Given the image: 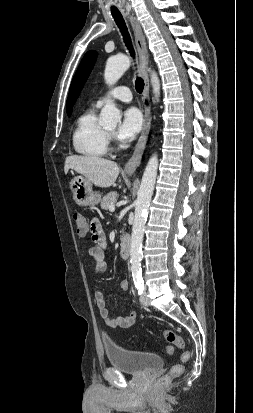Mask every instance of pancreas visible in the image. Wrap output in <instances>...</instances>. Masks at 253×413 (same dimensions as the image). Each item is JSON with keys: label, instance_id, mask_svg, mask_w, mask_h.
I'll return each instance as SVG.
<instances>
[{"label": "pancreas", "instance_id": "1", "mask_svg": "<svg viewBox=\"0 0 253 413\" xmlns=\"http://www.w3.org/2000/svg\"><path fill=\"white\" fill-rule=\"evenodd\" d=\"M117 201V193L116 192H109L106 196L103 197L101 200L100 206L104 210H108L111 205H114Z\"/></svg>", "mask_w": 253, "mask_h": 413}]
</instances>
